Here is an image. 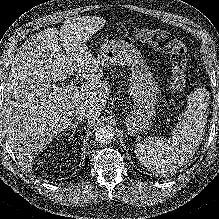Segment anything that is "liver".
I'll use <instances>...</instances> for the list:
<instances>
[{"mask_svg":"<svg viewBox=\"0 0 219 219\" xmlns=\"http://www.w3.org/2000/svg\"><path fill=\"white\" fill-rule=\"evenodd\" d=\"M96 16H76L58 28H47L27 39L18 50L4 85L2 118L13 150L28 165L59 132L71 125L77 105L100 114L110 86L89 52L86 41L105 25ZM76 72L86 81L62 93L53 83ZM63 89H66L64 87Z\"/></svg>","mask_w":219,"mask_h":219,"instance_id":"1","label":"liver"}]
</instances>
